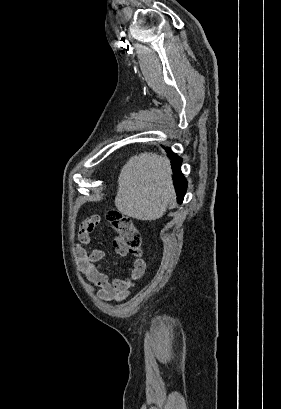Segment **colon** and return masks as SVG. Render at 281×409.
Instances as JSON below:
<instances>
[{
    "instance_id": "5ec220e1",
    "label": "colon",
    "mask_w": 281,
    "mask_h": 409,
    "mask_svg": "<svg viewBox=\"0 0 281 409\" xmlns=\"http://www.w3.org/2000/svg\"><path fill=\"white\" fill-rule=\"evenodd\" d=\"M106 218L109 226L115 232L116 239L125 250L134 255H142L141 233L132 218L116 210L107 211Z\"/></svg>"
}]
</instances>
